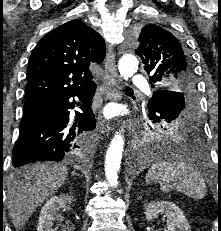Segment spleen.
<instances>
[{"label":"spleen","mask_w":221,"mask_h":231,"mask_svg":"<svg viewBox=\"0 0 221 231\" xmlns=\"http://www.w3.org/2000/svg\"><path fill=\"white\" fill-rule=\"evenodd\" d=\"M152 181H160L164 193L177 190L193 199L204 198L207 191L199 169L177 156L155 161L146 174V182Z\"/></svg>","instance_id":"spleen-1"}]
</instances>
